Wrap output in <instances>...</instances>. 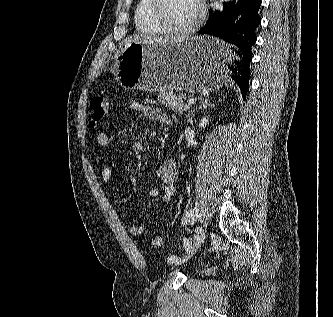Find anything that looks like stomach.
<instances>
[{
  "label": "stomach",
  "mask_w": 333,
  "mask_h": 317,
  "mask_svg": "<svg viewBox=\"0 0 333 317\" xmlns=\"http://www.w3.org/2000/svg\"><path fill=\"white\" fill-rule=\"evenodd\" d=\"M233 45L195 36L176 43H123L112 71L128 90L190 93L231 88V75L222 62H234Z\"/></svg>",
  "instance_id": "1"
}]
</instances>
